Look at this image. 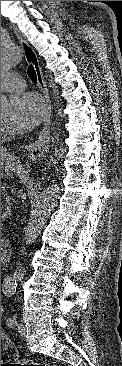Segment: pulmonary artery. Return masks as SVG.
Listing matches in <instances>:
<instances>
[{"mask_svg": "<svg viewBox=\"0 0 122 366\" xmlns=\"http://www.w3.org/2000/svg\"><path fill=\"white\" fill-rule=\"evenodd\" d=\"M25 87L24 80L17 74H1V91L15 92Z\"/></svg>", "mask_w": 122, "mask_h": 366, "instance_id": "1", "label": "pulmonary artery"}]
</instances>
